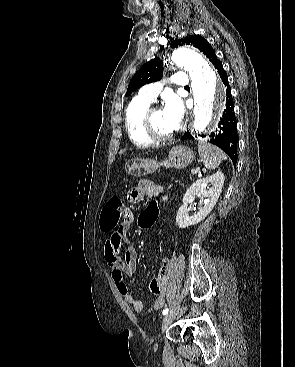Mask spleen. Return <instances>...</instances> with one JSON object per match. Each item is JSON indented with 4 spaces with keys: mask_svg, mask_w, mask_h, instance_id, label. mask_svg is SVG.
Wrapping results in <instances>:
<instances>
[{
    "mask_svg": "<svg viewBox=\"0 0 295 367\" xmlns=\"http://www.w3.org/2000/svg\"><path fill=\"white\" fill-rule=\"evenodd\" d=\"M198 152L205 168L209 170L217 168L223 160L227 159L222 150L205 141L198 143Z\"/></svg>",
    "mask_w": 295,
    "mask_h": 367,
    "instance_id": "1",
    "label": "spleen"
}]
</instances>
